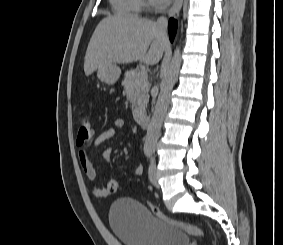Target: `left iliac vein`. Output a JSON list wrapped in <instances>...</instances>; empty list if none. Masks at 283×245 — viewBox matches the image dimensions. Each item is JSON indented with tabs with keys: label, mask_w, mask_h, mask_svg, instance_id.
<instances>
[{
	"label": "left iliac vein",
	"mask_w": 283,
	"mask_h": 245,
	"mask_svg": "<svg viewBox=\"0 0 283 245\" xmlns=\"http://www.w3.org/2000/svg\"><path fill=\"white\" fill-rule=\"evenodd\" d=\"M149 180L153 186L159 188L158 177H157V169L154 159L151 160L148 170Z\"/></svg>",
	"instance_id": "1"
}]
</instances>
